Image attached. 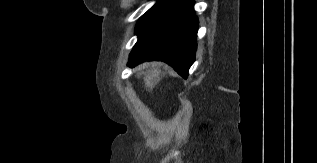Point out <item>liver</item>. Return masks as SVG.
<instances>
[{"label":"liver","mask_w":317,"mask_h":163,"mask_svg":"<svg viewBox=\"0 0 317 163\" xmlns=\"http://www.w3.org/2000/svg\"><path fill=\"white\" fill-rule=\"evenodd\" d=\"M160 70L157 68L151 69V71L145 72L144 83L148 89H152L159 78Z\"/></svg>","instance_id":"1"}]
</instances>
